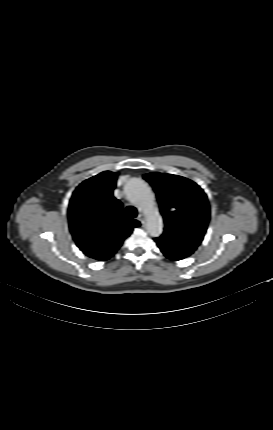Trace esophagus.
<instances>
[{"instance_id":"1","label":"esophagus","mask_w":273,"mask_h":430,"mask_svg":"<svg viewBox=\"0 0 273 430\" xmlns=\"http://www.w3.org/2000/svg\"><path fill=\"white\" fill-rule=\"evenodd\" d=\"M137 219L143 224L145 222V215L139 214Z\"/></svg>"}]
</instances>
